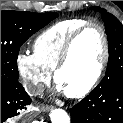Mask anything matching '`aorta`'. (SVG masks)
<instances>
[{
    "mask_svg": "<svg viewBox=\"0 0 123 123\" xmlns=\"http://www.w3.org/2000/svg\"><path fill=\"white\" fill-rule=\"evenodd\" d=\"M52 123H70V118L67 112L63 109H54L50 112Z\"/></svg>",
    "mask_w": 123,
    "mask_h": 123,
    "instance_id": "aorta-1",
    "label": "aorta"
}]
</instances>
